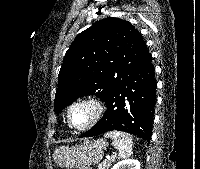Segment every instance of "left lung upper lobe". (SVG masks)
<instances>
[{
  "instance_id": "left-lung-upper-lobe-1",
  "label": "left lung upper lobe",
  "mask_w": 200,
  "mask_h": 169,
  "mask_svg": "<svg viewBox=\"0 0 200 169\" xmlns=\"http://www.w3.org/2000/svg\"><path fill=\"white\" fill-rule=\"evenodd\" d=\"M141 34L128 22L105 18L76 36L58 76L54 110L80 96L105 100L128 71L147 53Z\"/></svg>"
}]
</instances>
